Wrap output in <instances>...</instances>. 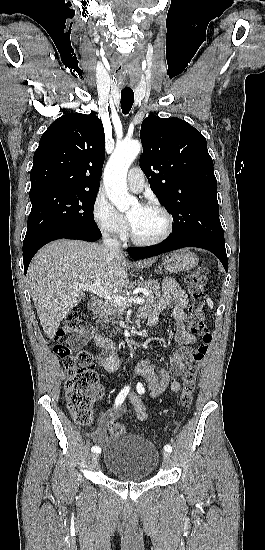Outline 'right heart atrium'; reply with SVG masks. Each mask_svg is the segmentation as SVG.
Instances as JSON below:
<instances>
[{"instance_id":"d8ad5b80","label":"right heart atrium","mask_w":265,"mask_h":550,"mask_svg":"<svg viewBox=\"0 0 265 550\" xmlns=\"http://www.w3.org/2000/svg\"><path fill=\"white\" fill-rule=\"evenodd\" d=\"M93 220L106 236L123 238L127 233L126 219L117 211L104 193H98L92 206Z\"/></svg>"}]
</instances>
